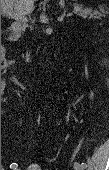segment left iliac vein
Masks as SVG:
<instances>
[{"label":"left iliac vein","mask_w":109,"mask_h":170,"mask_svg":"<svg viewBox=\"0 0 109 170\" xmlns=\"http://www.w3.org/2000/svg\"><path fill=\"white\" fill-rule=\"evenodd\" d=\"M74 170H84V167L80 163L75 162L74 163Z\"/></svg>","instance_id":"left-iliac-vein-1"}]
</instances>
